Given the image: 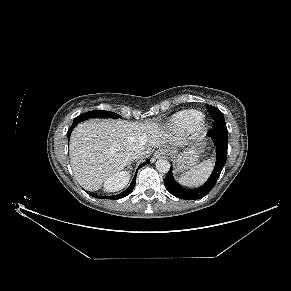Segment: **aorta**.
Instances as JSON below:
<instances>
[{"label": "aorta", "instance_id": "1", "mask_svg": "<svg viewBox=\"0 0 291 291\" xmlns=\"http://www.w3.org/2000/svg\"><path fill=\"white\" fill-rule=\"evenodd\" d=\"M156 169L161 173H167L170 169V163L166 159L156 161Z\"/></svg>", "mask_w": 291, "mask_h": 291}]
</instances>
